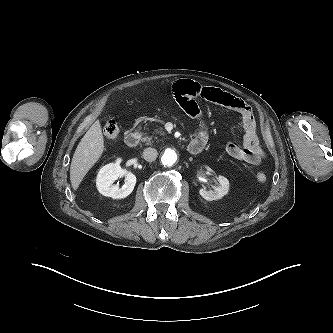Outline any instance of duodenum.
Instances as JSON below:
<instances>
[{"mask_svg": "<svg viewBox=\"0 0 333 333\" xmlns=\"http://www.w3.org/2000/svg\"><path fill=\"white\" fill-rule=\"evenodd\" d=\"M140 136L136 132H130L125 136V144L134 148L139 144ZM206 142L204 140L193 139L188 145V151L191 154H199L205 147Z\"/></svg>", "mask_w": 333, "mask_h": 333, "instance_id": "duodenum-1", "label": "duodenum"}]
</instances>
